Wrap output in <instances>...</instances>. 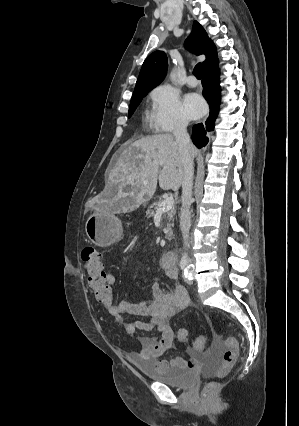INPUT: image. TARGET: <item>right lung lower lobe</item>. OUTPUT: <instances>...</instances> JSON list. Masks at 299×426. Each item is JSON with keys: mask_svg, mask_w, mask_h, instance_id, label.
<instances>
[{"mask_svg": "<svg viewBox=\"0 0 299 426\" xmlns=\"http://www.w3.org/2000/svg\"><path fill=\"white\" fill-rule=\"evenodd\" d=\"M202 85L204 88L203 96L210 105V115L205 122V126L202 123L193 126L192 141L198 148L207 144L208 138L206 137V131L214 129V122L219 111L220 86L218 63L204 70Z\"/></svg>", "mask_w": 299, "mask_h": 426, "instance_id": "1", "label": "right lung lower lobe"}]
</instances>
